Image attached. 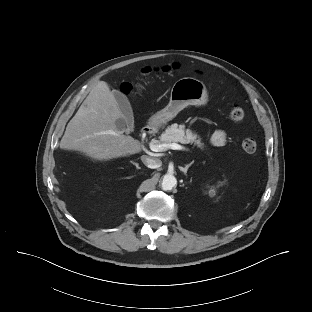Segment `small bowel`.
<instances>
[{"instance_id":"small-bowel-1","label":"small bowel","mask_w":312,"mask_h":312,"mask_svg":"<svg viewBox=\"0 0 312 312\" xmlns=\"http://www.w3.org/2000/svg\"><path fill=\"white\" fill-rule=\"evenodd\" d=\"M209 141L215 146H223L227 141V134L223 130H216L210 134Z\"/></svg>"}]
</instances>
